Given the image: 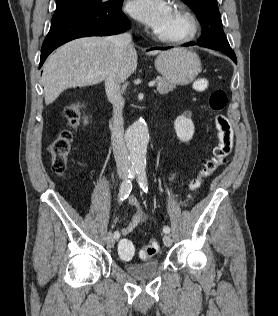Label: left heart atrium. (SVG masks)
Masks as SVG:
<instances>
[{
	"instance_id": "obj_1",
	"label": "left heart atrium",
	"mask_w": 278,
	"mask_h": 316,
	"mask_svg": "<svg viewBox=\"0 0 278 316\" xmlns=\"http://www.w3.org/2000/svg\"><path fill=\"white\" fill-rule=\"evenodd\" d=\"M127 11L136 20L158 31L168 18L171 7L165 0H131Z\"/></svg>"
}]
</instances>
